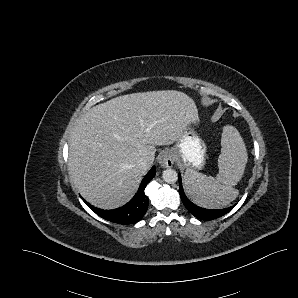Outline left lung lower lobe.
I'll return each mask as SVG.
<instances>
[{"label":"left lung lower lobe","instance_id":"0a47b994","mask_svg":"<svg viewBox=\"0 0 298 298\" xmlns=\"http://www.w3.org/2000/svg\"><path fill=\"white\" fill-rule=\"evenodd\" d=\"M178 179H179V184H180L179 194H180L181 200H182L183 204L185 205V207L187 208V210L198 219L213 220V219L219 218V217L227 214L229 211H231L236 205L235 204V205H233L229 208L216 209V210H209V209L200 208V207L196 206L195 204H193L191 201H189L187 199V197L185 196L183 188H182V182H181L180 174L178 175Z\"/></svg>","mask_w":298,"mask_h":298}]
</instances>
